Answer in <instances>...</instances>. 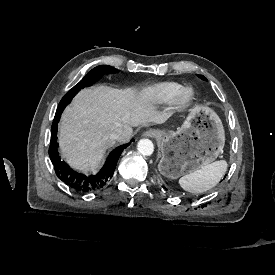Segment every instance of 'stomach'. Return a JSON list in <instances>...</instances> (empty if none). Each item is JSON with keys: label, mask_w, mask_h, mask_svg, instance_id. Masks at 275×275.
Instances as JSON below:
<instances>
[{"label": "stomach", "mask_w": 275, "mask_h": 275, "mask_svg": "<svg viewBox=\"0 0 275 275\" xmlns=\"http://www.w3.org/2000/svg\"><path fill=\"white\" fill-rule=\"evenodd\" d=\"M159 172L177 179L214 162L223 152L225 134L215 112L203 107L191 110L177 131L159 130Z\"/></svg>", "instance_id": "0dacf381"}]
</instances>
